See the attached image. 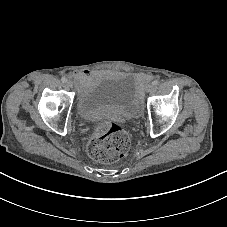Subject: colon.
<instances>
[{
  "label": "colon",
  "instance_id": "5ec220e1",
  "mask_svg": "<svg viewBox=\"0 0 227 227\" xmlns=\"http://www.w3.org/2000/svg\"><path fill=\"white\" fill-rule=\"evenodd\" d=\"M129 145V135L121 126L103 123L89 136L87 151L96 161L112 163L125 155Z\"/></svg>",
  "mask_w": 227,
  "mask_h": 227
}]
</instances>
